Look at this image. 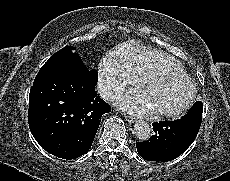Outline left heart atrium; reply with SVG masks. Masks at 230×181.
<instances>
[{"mask_svg":"<svg viewBox=\"0 0 230 181\" xmlns=\"http://www.w3.org/2000/svg\"><path fill=\"white\" fill-rule=\"evenodd\" d=\"M119 107L139 115H147L154 112V108L145 98L143 91H129L118 99Z\"/></svg>","mask_w":230,"mask_h":181,"instance_id":"obj_1","label":"left heart atrium"}]
</instances>
